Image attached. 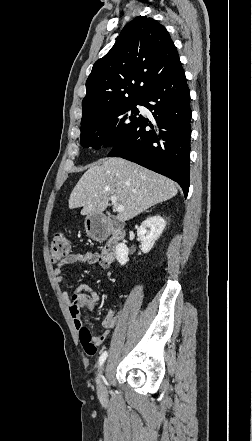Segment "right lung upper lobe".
<instances>
[{"label": "right lung upper lobe", "instance_id": "1", "mask_svg": "<svg viewBox=\"0 0 252 441\" xmlns=\"http://www.w3.org/2000/svg\"><path fill=\"white\" fill-rule=\"evenodd\" d=\"M178 61L164 26L147 16L134 18L111 50L95 62L86 81L81 123L103 111L142 100Z\"/></svg>", "mask_w": 252, "mask_h": 441}]
</instances>
